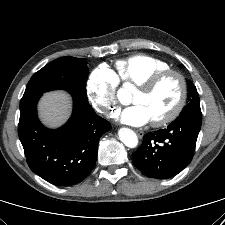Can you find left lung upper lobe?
Masks as SVG:
<instances>
[{
    "instance_id": "left-lung-upper-lobe-1",
    "label": "left lung upper lobe",
    "mask_w": 225,
    "mask_h": 225,
    "mask_svg": "<svg viewBox=\"0 0 225 225\" xmlns=\"http://www.w3.org/2000/svg\"><path fill=\"white\" fill-rule=\"evenodd\" d=\"M192 112L201 113V109H200L199 94L197 92V89L195 86L189 83L188 101L186 106L183 108L181 114L179 115V117Z\"/></svg>"
}]
</instances>
